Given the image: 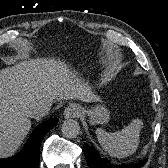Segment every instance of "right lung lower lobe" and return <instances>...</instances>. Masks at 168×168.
<instances>
[{
    "instance_id": "1",
    "label": "right lung lower lobe",
    "mask_w": 168,
    "mask_h": 168,
    "mask_svg": "<svg viewBox=\"0 0 168 168\" xmlns=\"http://www.w3.org/2000/svg\"><path fill=\"white\" fill-rule=\"evenodd\" d=\"M57 123L58 119L52 118L38 125L18 155L0 159V168H38L41 141Z\"/></svg>"
}]
</instances>
